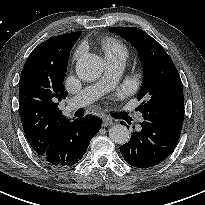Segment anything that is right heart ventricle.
Listing matches in <instances>:
<instances>
[{"label":"right heart ventricle","instance_id":"1","mask_svg":"<svg viewBox=\"0 0 205 205\" xmlns=\"http://www.w3.org/2000/svg\"><path fill=\"white\" fill-rule=\"evenodd\" d=\"M100 46L105 58L127 59L128 49L122 41L114 37H104L100 40Z\"/></svg>","mask_w":205,"mask_h":205}]
</instances>
